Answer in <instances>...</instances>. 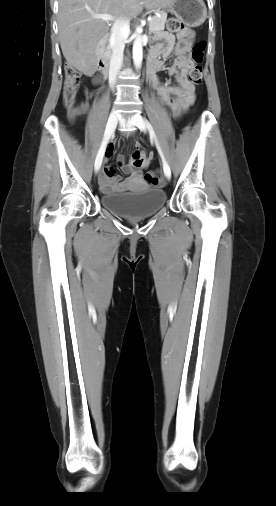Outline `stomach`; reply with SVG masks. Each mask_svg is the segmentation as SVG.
I'll return each instance as SVG.
<instances>
[{"label":"stomach","instance_id":"stomach-1","mask_svg":"<svg viewBox=\"0 0 276 506\" xmlns=\"http://www.w3.org/2000/svg\"><path fill=\"white\" fill-rule=\"evenodd\" d=\"M168 11L192 27L201 25L207 17V9L203 0H173Z\"/></svg>","mask_w":276,"mask_h":506}]
</instances>
